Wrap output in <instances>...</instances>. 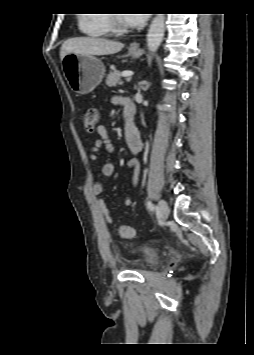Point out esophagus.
I'll list each match as a JSON object with an SVG mask.
<instances>
[{
	"mask_svg": "<svg viewBox=\"0 0 254 355\" xmlns=\"http://www.w3.org/2000/svg\"><path fill=\"white\" fill-rule=\"evenodd\" d=\"M130 46L132 49H135V50L139 48V44L136 42L132 43Z\"/></svg>",
	"mask_w": 254,
	"mask_h": 355,
	"instance_id": "esophagus-1",
	"label": "esophagus"
}]
</instances>
